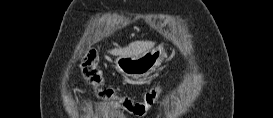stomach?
I'll return each instance as SVG.
<instances>
[{
	"instance_id": "stomach-1",
	"label": "stomach",
	"mask_w": 273,
	"mask_h": 118,
	"mask_svg": "<svg viewBox=\"0 0 273 118\" xmlns=\"http://www.w3.org/2000/svg\"><path fill=\"white\" fill-rule=\"evenodd\" d=\"M167 57L162 44L138 56H119L115 65L125 76L142 79L155 72Z\"/></svg>"
}]
</instances>
